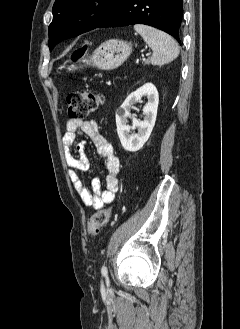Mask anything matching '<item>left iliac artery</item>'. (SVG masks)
<instances>
[{
	"instance_id": "1",
	"label": "left iliac artery",
	"mask_w": 240,
	"mask_h": 329,
	"mask_svg": "<svg viewBox=\"0 0 240 329\" xmlns=\"http://www.w3.org/2000/svg\"><path fill=\"white\" fill-rule=\"evenodd\" d=\"M101 273H102L103 276H107L108 271H107V268H106L105 265L102 266Z\"/></svg>"
}]
</instances>
